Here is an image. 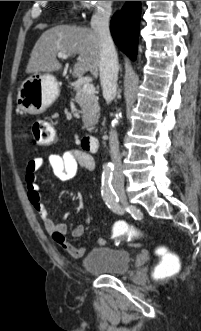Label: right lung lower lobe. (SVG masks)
<instances>
[{"instance_id":"right-lung-lower-lobe-1","label":"right lung lower lobe","mask_w":201,"mask_h":331,"mask_svg":"<svg viewBox=\"0 0 201 331\" xmlns=\"http://www.w3.org/2000/svg\"><path fill=\"white\" fill-rule=\"evenodd\" d=\"M140 14V1H127L111 19L110 30L114 42L132 60L137 55Z\"/></svg>"}]
</instances>
